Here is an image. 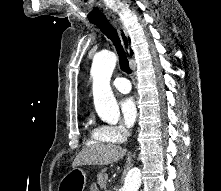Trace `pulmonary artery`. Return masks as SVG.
<instances>
[{
  "mask_svg": "<svg viewBox=\"0 0 221 191\" xmlns=\"http://www.w3.org/2000/svg\"><path fill=\"white\" fill-rule=\"evenodd\" d=\"M113 87L121 93H128L131 90V84L129 80L124 77L116 78L113 81Z\"/></svg>",
  "mask_w": 221,
  "mask_h": 191,
  "instance_id": "1",
  "label": "pulmonary artery"
}]
</instances>
